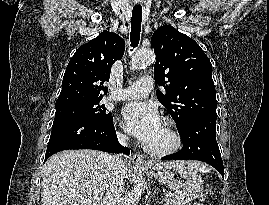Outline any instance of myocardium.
<instances>
[{"instance_id":"f54148a6","label":"myocardium","mask_w":269,"mask_h":205,"mask_svg":"<svg viewBox=\"0 0 269 205\" xmlns=\"http://www.w3.org/2000/svg\"><path fill=\"white\" fill-rule=\"evenodd\" d=\"M163 123L166 126L168 134L170 136V144L163 148H153L148 145L145 147V150L149 154L157 157H163L173 154L178 151L182 146V137L176 127L175 122L170 118H164Z\"/></svg>"}]
</instances>
